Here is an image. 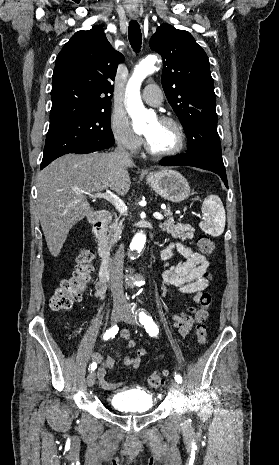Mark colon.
I'll return each instance as SVG.
<instances>
[{
	"label": "colon",
	"mask_w": 279,
	"mask_h": 465,
	"mask_svg": "<svg viewBox=\"0 0 279 465\" xmlns=\"http://www.w3.org/2000/svg\"><path fill=\"white\" fill-rule=\"evenodd\" d=\"M197 245L203 255H210L215 250L213 241L206 235L198 238ZM93 257V252L90 250L82 249L80 251L72 276L61 281L50 300V307L53 310H67L82 298L92 279ZM211 304V294L203 292L199 298V308L195 312L197 321L195 334L200 343H204L207 338L206 320L208 318V308ZM165 376L166 372H154L149 375L147 383L150 387L157 388L164 383Z\"/></svg>",
	"instance_id": "5ec220e1"
}]
</instances>
